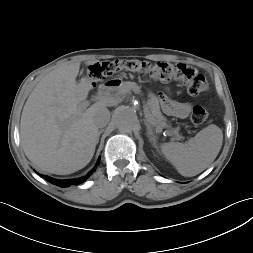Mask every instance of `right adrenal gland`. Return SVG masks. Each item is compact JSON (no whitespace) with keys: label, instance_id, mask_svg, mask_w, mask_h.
Listing matches in <instances>:
<instances>
[{"label":"right adrenal gland","instance_id":"obj_1","mask_svg":"<svg viewBox=\"0 0 253 253\" xmlns=\"http://www.w3.org/2000/svg\"><path fill=\"white\" fill-rule=\"evenodd\" d=\"M102 132H103V129H101V130L99 131L98 140H99V137H100V135L102 134Z\"/></svg>","mask_w":253,"mask_h":253}]
</instances>
